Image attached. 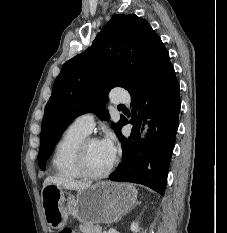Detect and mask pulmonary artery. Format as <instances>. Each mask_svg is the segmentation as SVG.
<instances>
[{
	"instance_id": "1",
	"label": "pulmonary artery",
	"mask_w": 227,
	"mask_h": 233,
	"mask_svg": "<svg viewBox=\"0 0 227 233\" xmlns=\"http://www.w3.org/2000/svg\"><path fill=\"white\" fill-rule=\"evenodd\" d=\"M129 96L125 92L117 93L112 97V101L116 103H128ZM94 114L84 113L79 115L72 123V127L89 134L94 128Z\"/></svg>"
}]
</instances>
